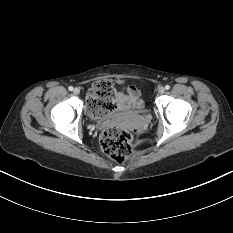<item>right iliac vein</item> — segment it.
<instances>
[{
	"label": "right iliac vein",
	"instance_id": "63e3f726",
	"mask_svg": "<svg viewBox=\"0 0 233 233\" xmlns=\"http://www.w3.org/2000/svg\"><path fill=\"white\" fill-rule=\"evenodd\" d=\"M73 93H74L75 95H79V94H80V89H79V88H75V89L73 90Z\"/></svg>",
	"mask_w": 233,
	"mask_h": 233
}]
</instances>
